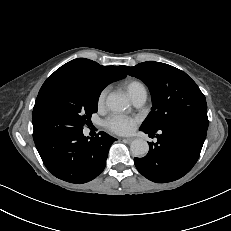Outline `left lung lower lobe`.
Returning <instances> with one entry per match:
<instances>
[{"label":"left lung lower lobe","mask_w":231,"mask_h":231,"mask_svg":"<svg viewBox=\"0 0 231 231\" xmlns=\"http://www.w3.org/2000/svg\"><path fill=\"white\" fill-rule=\"evenodd\" d=\"M208 129L207 117H184L157 130L140 127L156 134L157 142L149 143V152L143 158H134L137 170L147 179L166 183L186 175L197 162Z\"/></svg>","instance_id":"left-lung-lower-lobe-1"}]
</instances>
